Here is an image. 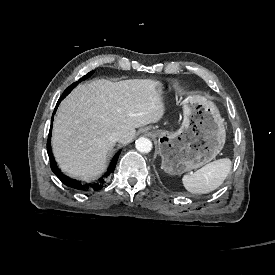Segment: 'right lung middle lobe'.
I'll return each mask as SVG.
<instances>
[{
    "mask_svg": "<svg viewBox=\"0 0 275 275\" xmlns=\"http://www.w3.org/2000/svg\"><path fill=\"white\" fill-rule=\"evenodd\" d=\"M92 73H93V72H89L88 74H86L85 76H83V77L79 80V82L82 81V80L87 79L88 77H90V76L92 75ZM77 84H78V82H75V83L71 84V85L64 91V93H63L62 96H66L67 94H69V93L72 91V89H73L75 86H77Z\"/></svg>",
    "mask_w": 275,
    "mask_h": 275,
    "instance_id": "obj_1",
    "label": "right lung middle lobe"
}]
</instances>
